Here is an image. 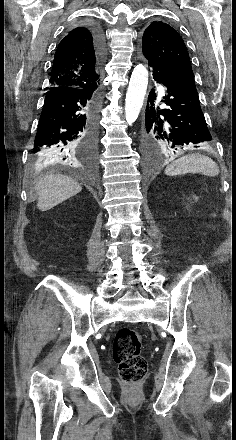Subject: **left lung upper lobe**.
Here are the masks:
<instances>
[{"mask_svg":"<svg viewBox=\"0 0 236 440\" xmlns=\"http://www.w3.org/2000/svg\"><path fill=\"white\" fill-rule=\"evenodd\" d=\"M142 54L159 71L181 69L192 72L186 45L179 33L161 21L152 22L142 37Z\"/></svg>","mask_w":236,"mask_h":440,"instance_id":"obj_1","label":"left lung upper lobe"}]
</instances>
